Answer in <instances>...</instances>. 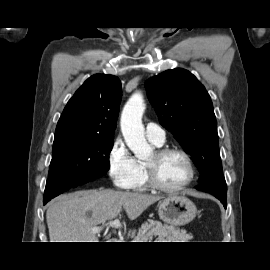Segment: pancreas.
I'll list each match as a JSON object with an SVG mask.
<instances>
[{
    "mask_svg": "<svg viewBox=\"0 0 270 270\" xmlns=\"http://www.w3.org/2000/svg\"><path fill=\"white\" fill-rule=\"evenodd\" d=\"M156 236L167 239L169 242H188L193 239V236L184 229L163 225L159 221L148 220L139 229L137 236L132 242H152Z\"/></svg>",
    "mask_w": 270,
    "mask_h": 270,
    "instance_id": "1",
    "label": "pancreas"
}]
</instances>
